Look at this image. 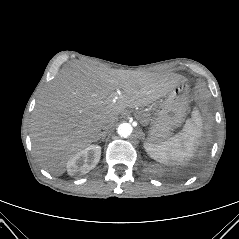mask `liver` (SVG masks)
I'll use <instances>...</instances> for the list:
<instances>
[{
    "instance_id": "6515ba94",
    "label": "liver",
    "mask_w": 239,
    "mask_h": 239,
    "mask_svg": "<svg viewBox=\"0 0 239 239\" xmlns=\"http://www.w3.org/2000/svg\"><path fill=\"white\" fill-rule=\"evenodd\" d=\"M186 78L175 74L121 71L88 64L63 69L46 87L33 111L32 147L54 176L70 157L95 142L101 125L126 109L147 106Z\"/></svg>"
}]
</instances>
